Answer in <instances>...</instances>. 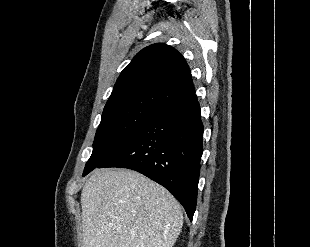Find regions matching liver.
<instances>
[{"label": "liver", "mask_w": 310, "mask_h": 247, "mask_svg": "<svg viewBox=\"0 0 310 247\" xmlns=\"http://www.w3.org/2000/svg\"><path fill=\"white\" fill-rule=\"evenodd\" d=\"M81 207L82 247H173L183 225L172 194L132 170L93 172Z\"/></svg>", "instance_id": "6515ba94"}]
</instances>
